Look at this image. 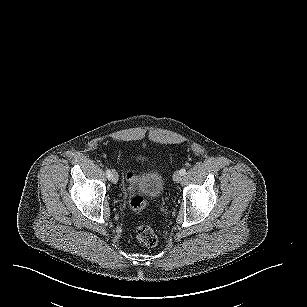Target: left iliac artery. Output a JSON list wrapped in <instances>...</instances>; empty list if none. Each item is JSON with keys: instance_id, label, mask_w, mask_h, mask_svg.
Segmentation results:
<instances>
[{"instance_id": "left-iliac-artery-1", "label": "left iliac artery", "mask_w": 307, "mask_h": 307, "mask_svg": "<svg viewBox=\"0 0 307 307\" xmlns=\"http://www.w3.org/2000/svg\"><path fill=\"white\" fill-rule=\"evenodd\" d=\"M180 173H181L182 175L186 174V169L182 168V169L180 170Z\"/></svg>"}]
</instances>
